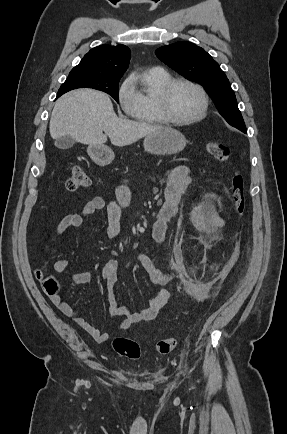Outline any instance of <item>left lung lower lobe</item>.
I'll return each mask as SVG.
<instances>
[{
  "label": "left lung lower lobe",
  "instance_id": "0a47b994",
  "mask_svg": "<svg viewBox=\"0 0 287 434\" xmlns=\"http://www.w3.org/2000/svg\"><path fill=\"white\" fill-rule=\"evenodd\" d=\"M239 130H241L242 132L246 133V127L245 128H238Z\"/></svg>",
  "mask_w": 287,
  "mask_h": 434
}]
</instances>
